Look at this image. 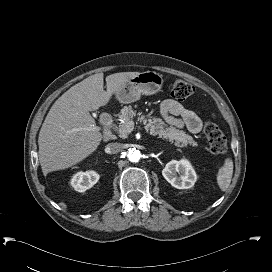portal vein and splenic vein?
I'll list each match as a JSON object with an SVG mask.
<instances>
[{
  "label": "portal vein and splenic vein",
  "mask_w": 272,
  "mask_h": 272,
  "mask_svg": "<svg viewBox=\"0 0 272 272\" xmlns=\"http://www.w3.org/2000/svg\"><path fill=\"white\" fill-rule=\"evenodd\" d=\"M98 128V127H97ZM99 129V128H98ZM134 130V122L133 121H130V122H128L127 123V125H126V130H125V132H127V133H130L131 131H133Z\"/></svg>",
  "instance_id": "portal-vein-and-splenic-vein-1"
}]
</instances>
